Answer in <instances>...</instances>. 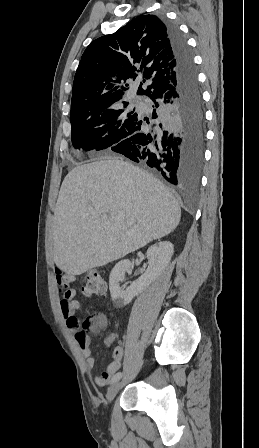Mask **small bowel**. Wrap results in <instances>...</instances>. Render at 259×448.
I'll return each instance as SVG.
<instances>
[{"mask_svg": "<svg viewBox=\"0 0 259 448\" xmlns=\"http://www.w3.org/2000/svg\"><path fill=\"white\" fill-rule=\"evenodd\" d=\"M55 275L57 284L60 290L63 292V297L60 301L62 316L66 322L67 327L75 334V339L79 345L82 356L85 359L86 369L91 370L95 367V359L92 356V352L90 349V338L85 332L81 330L80 321L76 317V313L81 308L80 302L76 298L77 292L76 290L69 288V285L75 281V277L70 274H65L59 269H56ZM115 338L116 336L114 334L108 335L104 339V344L109 347L115 340ZM123 354L124 349L122 346H118L115 348L113 352V361L103 372L94 376V382L98 386L106 385L120 369Z\"/></svg>", "mask_w": 259, "mask_h": 448, "instance_id": "1", "label": "small bowel"}]
</instances>
